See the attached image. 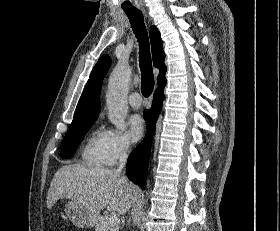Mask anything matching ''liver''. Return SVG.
<instances>
[{"label":"liver","mask_w":280,"mask_h":231,"mask_svg":"<svg viewBox=\"0 0 280 231\" xmlns=\"http://www.w3.org/2000/svg\"><path fill=\"white\" fill-rule=\"evenodd\" d=\"M139 193L137 185L129 183L115 169L71 163L56 171L48 189L47 207L51 209L58 199L66 197L88 207L97 221L105 207L124 215Z\"/></svg>","instance_id":"1"}]
</instances>
